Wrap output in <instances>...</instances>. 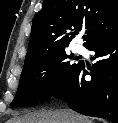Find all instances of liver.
<instances>
[{
	"instance_id": "liver-1",
	"label": "liver",
	"mask_w": 118,
	"mask_h": 123,
	"mask_svg": "<svg viewBox=\"0 0 118 123\" xmlns=\"http://www.w3.org/2000/svg\"><path fill=\"white\" fill-rule=\"evenodd\" d=\"M7 123H92V120L70 109L29 112Z\"/></svg>"
}]
</instances>
